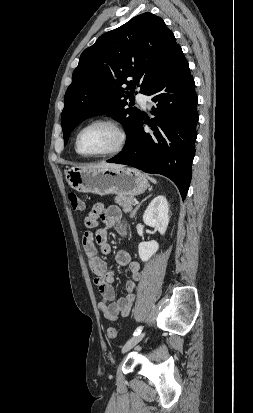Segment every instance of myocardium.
Segmentation results:
<instances>
[{
  "label": "myocardium",
  "instance_id": "obj_1",
  "mask_svg": "<svg viewBox=\"0 0 253 413\" xmlns=\"http://www.w3.org/2000/svg\"><path fill=\"white\" fill-rule=\"evenodd\" d=\"M97 124H104L107 125L109 127H111L113 130H115V132L118 135V142L116 144V146L106 152L103 153H98V154H84L80 151L79 149V139L80 136L82 134V132L87 129L90 126L93 125H97ZM128 142V135L126 130L124 129V127L115 119L112 118H107V117H102V118H96L93 119L89 122H87L86 124H84L77 132L76 136H75V150L76 152L85 158H102V157H109V156H113L116 154H119L120 152H122L124 150V148L126 147Z\"/></svg>",
  "mask_w": 253,
  "mask_h": 413
}]
</instances>
